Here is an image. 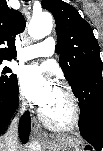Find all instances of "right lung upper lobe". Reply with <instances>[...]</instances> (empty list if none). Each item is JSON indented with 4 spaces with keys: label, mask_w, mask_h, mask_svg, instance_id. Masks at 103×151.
I'll use <instances>...</instances> for the list:
<instances>
[{
    "label": "right lung upper lobe",
    "mask_w": 103,
    "mask_h": 151,
    "mask_svg": "<svg viewBox=\"0 0 103 151\" xmlns=\"http://www.w3.org/2000/svg\"><path fill=\"white\" fill-rule=\"evenodd\" d=\"M25 28L24 18L20 12L9 9L6 0L0 1V61L10 60L16 55L14 37Z\"/></svg>",
    "instance_id": "obj_1"
}]
</instances>
